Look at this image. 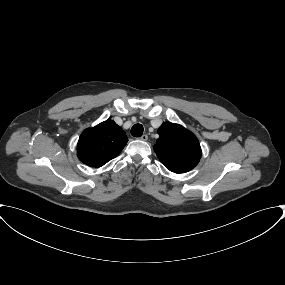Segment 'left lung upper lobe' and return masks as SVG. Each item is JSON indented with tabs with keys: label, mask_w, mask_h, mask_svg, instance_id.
Wrapping results in <instances>:
<instances>
[{
	"label": "left lung upper lobe",
	"mask_w": 285,
	"mask_h": 285,
	"mask_svg": "<svg viewBox=\"0 0 285 285\" xmlns=\"http://www.w3.org/2000/svg\"><path fill=\"white\" fill-rule=\"evenodd\" d=\"M154 151L161 163L174 173L193 169L201 158V147L193 133L179 124L163 123Z\"/></svg>",
	"instance_id": "obj_1"
}]
</instances>
